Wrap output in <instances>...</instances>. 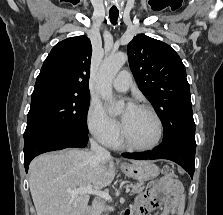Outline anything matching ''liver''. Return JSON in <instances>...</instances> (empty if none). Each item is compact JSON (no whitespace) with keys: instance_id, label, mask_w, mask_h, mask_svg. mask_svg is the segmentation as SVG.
<instances>
[{"instance_id":"obj_1","label":"liver","mask_w":223,"mask_h":215,"mask_svg":"<svg viewBox=\"0 0 223 215\" xmlns=\"http://www.w3.org/2000/svg\"><path fill=\"white\" fill-rule=\"evenodd\" d=\"M138 163L137 159H131ZM115 177L112 157H97L95 151L65 149L42 153L29 165V185L37 215H84L88 193H69L76 187H105Z\"/></svg>"}]
</instances>
